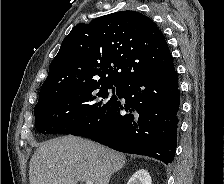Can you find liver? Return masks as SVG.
Segmentation results:
<instances>
[{
  "mask_svg": "<svg viewBox=\"0 0 224 184\" xmlns=\"http://www.w3.org/2000/svg\"><path fill=\"white\" fill-rule=\"evenodd\" d=\"M125 155L72 136L46 141L34 152L29 165L30 184H109L123 168Z\"/></svg>",
  "mask_w": 224,
  "mask_h": 184,
  "instance_id": "obj_1",
  "label": "liver"
}]
</instances>
